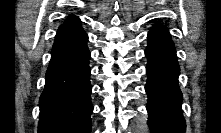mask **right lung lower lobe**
Returning a JSON list of instances; mask_svg holds the SVG:
<instances>
[{"mask_svg":"<svg viewBox=\"0 0 221 133\" xmlns=\"http://www.w3.org/2000/svg\"><path fill=\"white\" fill-rule=\"evenodd\" d=\"M88 36L55 41L44 90L39 99L38 133H90L93 106L90 100Z\"/></svg>","mask_w":221,"mask_h":133,"instance_id":"obj_1","label":"right lung lower lobe"}]
</instances>
